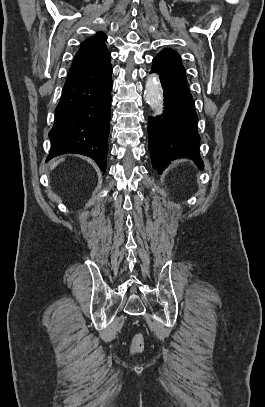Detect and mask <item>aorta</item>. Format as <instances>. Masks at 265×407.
Listing matches in <instances>:
<instances>
[{"instance_id":"obj_1","label":"aorta","mask_w":265,"mask_h":407,"mask_svg":"<svg viewBox=\"0 0 265 407\" xmlns=\"http://www.w3.org/2000/svg\"><path fill=\"white\" fill-rule=\"evenodd\" d=\"M144 99L152 110L159 113L162 110V89L159 77L156 74H151L147 77L144 91Z\"/></svg>"}]
</instances>
